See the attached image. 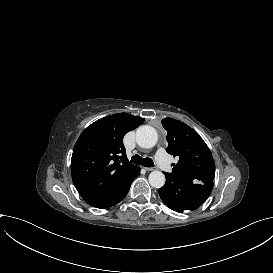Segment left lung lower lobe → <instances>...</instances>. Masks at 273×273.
<instances>
[{
  "label": "left lung lower lobe",
  "instance_id": "0a47b994",
  "mask_svg": "<svg viewBox=\"0 0 273 273\" xmlns=\"http://www.w3.org/2000/svg\"><path fill=\"white\" fill-rule=\"evenodd\" d=\"M164 174L166 183L158 193L162 201L174 211L182 213L184 210H195L211 194L213 183H195L169 173Z\"/></svg>",
  "mask_w": 273,
  "mask_h": 273
}]
</instances>
